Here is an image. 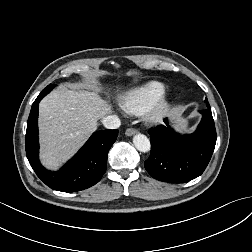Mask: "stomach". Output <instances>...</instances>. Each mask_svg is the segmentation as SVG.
Here are the masks:
<instances>
[{
    "instance_id": "0dacf381",
    "label": "stomach",
    "mask_w": 252,
    "mask_h": 252,
    "mask_svg": "<svg viewBox=\"0 0 252 252\" xmlns=\"http://www.w3.org/2000/svg\"><path fill=\"white\" fill-rule=\"evenodd\" d=\"M172 121L179 131H186L188 128V120L182 116L178 109L171 113Z\"/></svg>"
}]
</instances>
